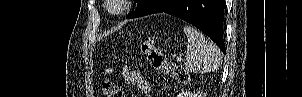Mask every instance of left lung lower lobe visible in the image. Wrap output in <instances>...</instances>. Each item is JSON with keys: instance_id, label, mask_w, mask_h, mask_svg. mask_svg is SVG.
I'll list each match as a JSON object with an SVG mask.
<instances>
[{"instance_id": "obj_1", "label": "left lung lower lobe", "mask_w": 302, "mask_h": 97, "mask_svg": "<svg viewBox=\"0 0 302 97\" xmlns=\"http://www.w3.org/2000/svg\"><path fill=\"white\" fill-rule=\"evenodd\" d=\"M225 0H150L144 9L135 10L127 18L154 13H168L196 26L208 35L225 54L223 20Z\"/></svg>"}]
</instances>
